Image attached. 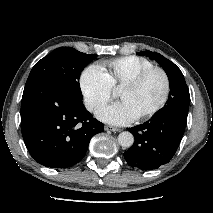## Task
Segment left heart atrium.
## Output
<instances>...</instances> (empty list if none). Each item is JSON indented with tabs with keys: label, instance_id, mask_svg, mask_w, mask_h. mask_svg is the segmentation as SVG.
Returning <instances> with one entry per match:
<instances>
[{
	"label": "left heart atrium",
	"instance_id": "39dd6f15",
	"mask_svg": "<svg viewBox=\"0 0 213 213\" xmlns=\"http://www.w3.org/2000/svg\"><path fill=\"white\" fill-rule=\"evenodd\" d=\"M97 117L114 125H125L136 119L134 112L125 101L103 107L97 112Z\"/></svg>",
	"mask_w": 213,
	"mask_h": 213
}]
</instances>
